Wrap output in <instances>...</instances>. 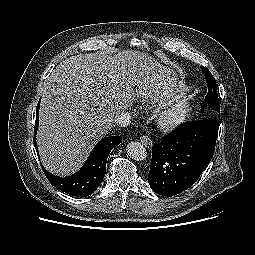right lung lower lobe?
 Instances as JSON below:
<instances>
[{
	"mask_svg": "<svg viewBox=\"0 0 255 255\" xmlns=\"http://www.w3.org/2000/svg\"><path fill=\"white\" fill-rule=\"evenodd\" d=\"M40 101L36 108V122L34 129V136L38 128ZM122 138L120 136H111L101 139L99 143L92 150L84 166L74 175L62 178L55 176L42 167L49 182L60 189L61 191L76 197H86L92 194L102 182L106 173L107 157L111 150L116 147ZM34 145L38 151L36 139L34 138Z\"/></svg>",
	"mask_w": 255,
	"mask_h": 255,
	"instance_id": "98d812e1",
	"label": "right lung lower lobe"
}]
</instances>
